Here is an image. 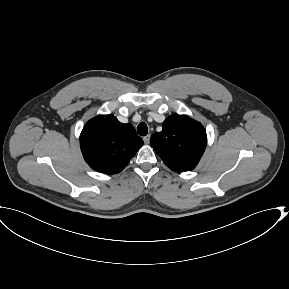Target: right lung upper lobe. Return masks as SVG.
I'll return each instance as SVG.
<instances>
[{
    "mask_svg": "<svg viewBox=\"0 0 289 289\" xmlns=\"http://www.w3.org/2000/svg\"><path fill=\"white\" fill-rule=\"evenodd\" d=\"M143 145L131 124L120 123L115 116L100 115L88 121L80 135L85 161L94 170L121 172Z\"/></svg>",
    "mask_w": 289,
    "mask_h": 289,
    "instance_id": "1",
    "label": "right lung upper lobe"
}]
</instances>
